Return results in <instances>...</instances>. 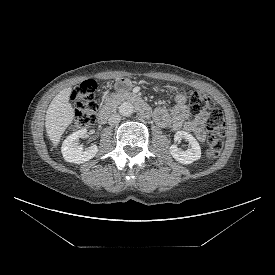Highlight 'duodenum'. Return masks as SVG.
<instances>
[{
    "label": "duodenum",
    "mask_w": 275,
    "mask_h": 275,
    "mask_svg": "<svg viewBox=\"0 0 275 275\" xmlns=\"http://www.w3.org/2000/svg\"><path fill=\"white\" fill-rule=\"evenodd\" d=\"M121 99L123 101L133 103L142 117H149L152 114L149 105L137 94L126 93L122 96ZM114 107V103H109L101 109L97 118L99 124L103 125L107 122L109 116L112 114L114 110Z\"/></svg>",
    "instance_id": "410a0bca"
}]
</instances>
